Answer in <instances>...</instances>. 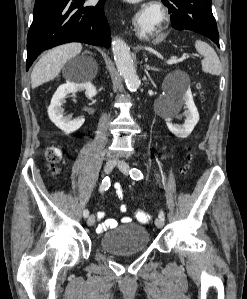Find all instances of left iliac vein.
Returning a JSON list of instances; mask_svg holds the SVG:
<instances>
[{
	"mask_svg": "<svg viewBox=\"0 0 247 299\" xmlns=\"http://www.w3.org/2000/svg\"><path fill=\"white\" fill-rule=\"evenodd\" d=\"M117 166L120 169V171L123 172L125 175L129 174L130 167H129V165L125 161H123V160L118 161L117 162ZM155 225L158 228H162L164 226V221L162 219H160V218H157L155 220Z\"/></svg>",
	"mask_w": 247,
	"mask_h": 299,
	"instance_id": "left-iliac-vein-1",
	"label": "left iliac vein"
}]
</instances>
